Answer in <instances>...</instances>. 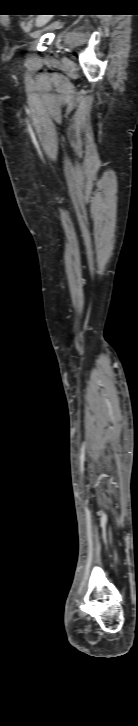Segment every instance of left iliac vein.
I'll return each instance as SVG.
<instances>
[{"mask_svg": "<svg viewBox=\"0 0 138 726\" xmlns=\"http://www.w3.org/2000/svg\"><path fill=\"white\" fill-rule=\"evenodd\" d=\"M48 21H49V16H39V17H37L35 24H36L37 27H42Z\"/></svg>", "mask_w": 138, "mask_h": 726, "instance_id": "left-iliac-vein-1", "label": "left iliac vein"}]
</instances>
